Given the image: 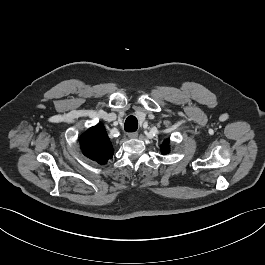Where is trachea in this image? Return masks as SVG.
Instances as JSON below:
<instances>
[{"mask_svg": "<svg viewBox=\"0 0 265 265\" xmlns=\"http://www.w3.org/2000/svg\"><path fill=\"white\" fill-rule=\"evenodd\" d=\"M138 128L137 118L134 116H129L124 124V129L127 132H135Z\"/></svg>", "mask_w": 265, "mask_h": 265, "instance_id": "trachea-1", "label": "trachea"}]
</instances>
